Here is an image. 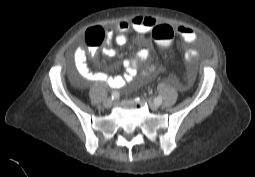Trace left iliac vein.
<instances>
[{
  "instance_id": "obj_1",
  "label": "left iliac vein",
  "mask_w": 255,
  "mask_h": 177,
  "mask_svg": "<svg viewBox=\"0 0 255 177\" xmlns=\"http://www.w3.org/2000/svg\"><path fill=\"white\" fill-rule=\"evenodd\" d=\"M149 107L153 110L156 111L159 107V105H157L155 102H153L152 100L148 99L147 100Z\"/></svg>"
}]
</instances>
